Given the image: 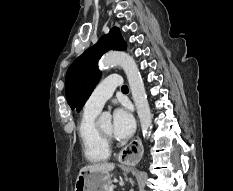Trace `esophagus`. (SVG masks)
Segmentation results:
<instances>
[{
  "label": "esophagus",
  "instance_id": "obj_1",
  "mask_svg": "<svg viewBox=\"0 0 233 191\" xmlns=\"http://www.w3.org/2000/svg\"><path fill=\"white\" fill-rule=\"evenodd\" d=\"M143 153V146L139 137L132 140L126 147L119 153L118 159L123 164H138V158Z\"/></svg>",
  "mask_w": 233,
  "mask_h": 191
}]
</instances>
